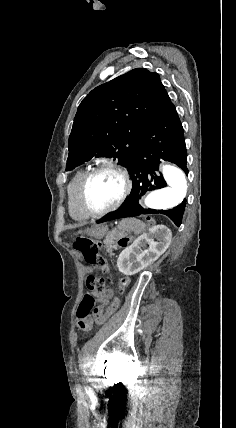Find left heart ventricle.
Listing matches in <instances>:
<instances>
[{
	"instance_id": "1",
	"label": "left heart ventricle",
	"mask_w": 236,
	"mask_h": 428,
	"mask_svg": "<svg viewBox=\"0 0 236 428\" xmlns=\"http://www.w3.org/2000/svg\"><path fill=\"white\" fill-rule=\"evenodd\" d=\"M124 191V182L113 172L97 174L87 187V201L95 210L105 209L115 204Z\"/></svg>"
}]
</instances>
